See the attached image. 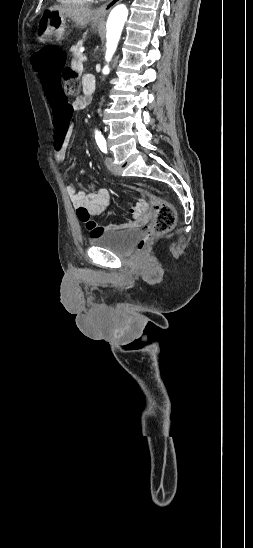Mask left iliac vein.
Returning a JSON list of instances; mask_svg holds the SVG:
<instances>
[{
    "label": "left iliac vein",
    "instance_id": "1",
    "mask_svg": "<svg viewBox=\"0 0 253 548\" xmlns=\"http://www.w3.org/2000/svg\"><path fill=\"white\" fill-rule=\"evenodd\" d=\"M105 163H106L107 168H108L112 173H115V174L117 173V168H116V166H115V164H114V159H113L112 157H107Z\"/></svg>",
    "mask_w": 253,
    "mask_h": 548
}]
</instances>
